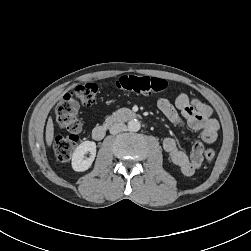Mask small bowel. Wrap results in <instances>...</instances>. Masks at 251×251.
I'll list each match as a JSON object with an SVG mask.
<instances>
[{
	"label": "small bowel",
	"mask_w": 251,
	"mask_h": 251,
	"mask_svg": "<svg viewBox=\"0 0 251 251\" xmlns=\"http://www.w3.org/2000/svg\"><path fill=\"white\" fill-rule=\"evenodd\" d=\"M157 108L174 124L200 131V139L190 154L178 148L175 140L165 137L162 142L172 163L186 176L194 175L203 161L204 143H213L218 137L219 124L212 117L211 108L186 93L176 96L174 104L166 98L157 100Z\"/></svg>",
	"instance_id": "small-bowel-1"
}]
</instances>
